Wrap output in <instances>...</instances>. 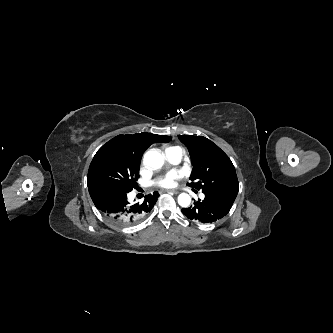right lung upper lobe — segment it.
Masks as SVG:
<instances>
[{
	"instance_id": "obj_1",
	"label": "right lung upper lobe",
	"mask_w": 333,
	"mask_h": 333,
	"mask_svg": "<svg viewBox=\"0 0 333 333\" xmlns=\"http://www.w3.org/2000/svg\"><path fill=\"white\" fill-rule=\"evenodd\" d=\"M170 140V136H161L151 133L118 135L101 148L115 149L125 154L133 162L140 164L142 154L149 146L156 142L167 143Z\"/></svg>"
}]
</instances>
